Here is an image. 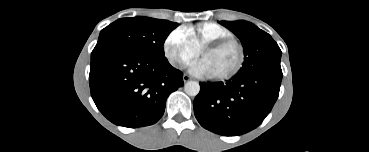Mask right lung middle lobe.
<instances>
[{"instance_id":"right-lung-middle-lobe-1","label":"right lung middle lobe","mask_w":369,"mask_h":152,"mask_svg":"<svg viewBox=\"0 0 369 152\" xmlns=\"http://www.w3.org/2000/svg\"><path fill=\"white\" fill-rule=\"evenodd\" d=\"M177 26V23L168 20L149 17L118 19L100 32L91 59L112 52H131L164 58L163 44Z\"/></svg>"}]
</instances>
